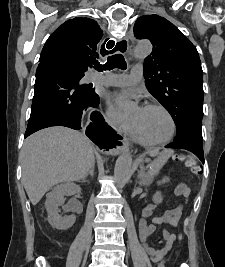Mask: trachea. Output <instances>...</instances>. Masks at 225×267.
<instances>
[{"instance_id":"trachea-1","label":"trachea","mask_w":225,"mask_h":267,"mask_svg":"<svg viewBox=\"0 0 225 267\" xmlns=\"http://www.w3.org/2000/svg\"><path fill=\"white\" fill-rule=\"evenodd\" d=\"M110 44V46H108ZM114 46V41H109L107 43V48H112ZM116 51V47L112 50V52ZM94 68L98 71L103 70H112L114 68H120L122 70L126 69V61L122 54H115L109 56L107 62L104 65H100V63H94Z\"/></svg>"}]
</instances>
